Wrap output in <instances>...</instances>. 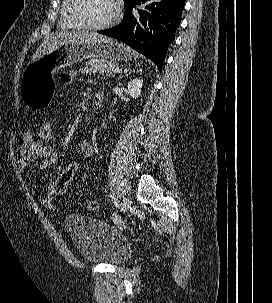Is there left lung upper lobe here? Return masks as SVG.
<instances>
[{
	"label": "left lung upper lobe",
	"instance_id": "1",
	"mask_svg": "<svg viewBox=\"0 0 272 303\" xmlns=\"http://www.w3.org/2000/svg\"><path fill=\"white\" fill-rule=\"evenodd\" d=\"M135 0H124L125 2V8L128 7L131 3H133Z\"/></svg>",
	"mask_w": 272,
	"mask_h": 303
}]
</instances>
